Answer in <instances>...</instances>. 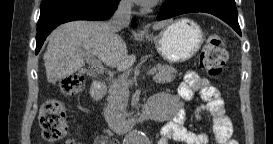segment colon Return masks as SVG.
Instances as JSON below:
<instances>
[{
  "label": "colon",
  "instance_id": "5ec220e1",
  "mask_svg": "<svg viewBox=\"0 0 273 144\" xmlns=\"http://www.w3.org/2000/svg\"><path fill=\"white\" fill-rule=\"evenodd\" d=\"M227 60V50L224 41L217 34L210 35L200 53V66L211 78L217 79ZM84 77L72 75L61 81L60 89L64 95H75L82 90ZM39 122L42 136L48 142L62 139L67 132L66 110L57 100L45 102L41 108Z\"/></svg>",
  "mask_w": 273,
  "mask_h": 144
}]
</instances>
